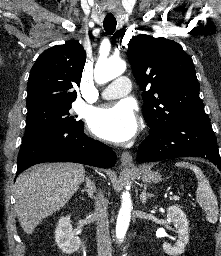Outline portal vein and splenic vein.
I'll use <instances>...</instances> for the list:
<instances>
[{
  "instance_id": "portal-vein-and-splenic-vein-1",
  "label": "portal vein and splenic vein",
  "mask_w": 221,
  "mask_h": 256,
  "mask_svg": "<svg viewBox=\"0 0 221 256\" xmlns=\"http://www.w3.org/2000/svg\"><path fill=\"white\" fill-rule=\"evenodd\" d=\"M170 198L173 199V200H180V197L177 196V195H173V196H171Z\"/></svg>"
}]
</instances>
